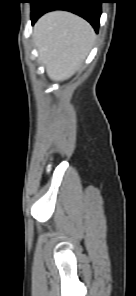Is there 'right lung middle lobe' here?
<instances>
[{"instance_id":"obj_1","label":"right lung middle lobe","mask_w":136,"mask_h":296,"mask_svg":"<svg viewBox=\"0 0 136 296\" xmlns=\"http://www.w3.org/2000/svg\"><path fill=\"white\" fill-rule=\"evenodd\" d=\"M37 0H31V4H32V6L34 5V3L36 2Z\"/></svg>"}]
</instances>
